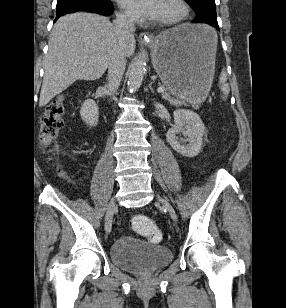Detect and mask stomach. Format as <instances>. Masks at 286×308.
Here are the masks:
<instances>
[{"label":"stomach","instance_id":"stomach-1","mask_svg":"<svg viewBox=\"0 0 286 308\" xmlns=\"http://www.w3.org/2000/svg\"><path fill=\"white\" fill-rule=\"evenodd\" d=\"M217 44L212 27L180 25L154 38V69L172 94L200 102L212 85Z\"/></svg>","mask_w":286,"mask_h":308}]
</instances>
